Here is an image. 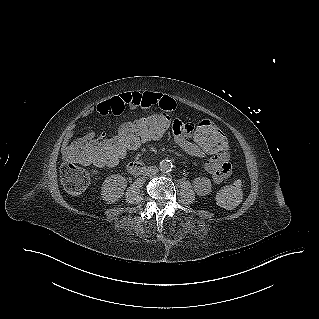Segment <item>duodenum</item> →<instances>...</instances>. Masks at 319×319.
Wrapping results in <instances>:
<instances>
[{
    "instance_id": "410a0bca",
    "label": "duodenum",
    "mask_w": 319,
    "mask_h": 319,
    "mask_svg": "<svg viewBox=\"0 0 319 319\" xmlns=\"http://www.w3.org/2000/svg\"><path fill=\"white\" fill-rule=\"evenodd\" d=\"M128 170L133 175H139V174L143 173L146 170V168L142 163L131 162L128 165Z\"/></svg>"
}]
</instances>
